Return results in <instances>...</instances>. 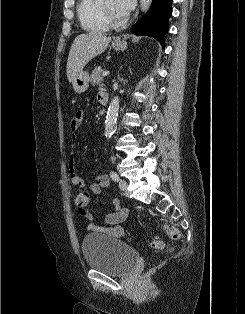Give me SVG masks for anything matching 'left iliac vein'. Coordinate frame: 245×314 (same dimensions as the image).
<instances>
[{
  "label": "left iliac vein",
  "instance_id": "1",
  "mask_svg": "<svg viewBox=\"0 0 245 314\" xmlns=\"http://www.w3.org/2000/svg\"><path fill=\"white\" fill-rule=\"evenodd\" d=\"M127 186H128V183H127L125 180L121 179V180L119 181V188H120L122 191H126Z\"/></svg>",
  "mask_w": 245,
  "mask_h": 314
}]
</instances>
